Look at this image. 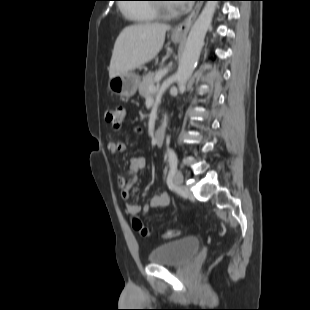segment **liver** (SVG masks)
<instances>
[{"mask_svg": "<svg viewBox=\"0 0 310 310\" xmlns=\"http://www.w3.org/2000/svg\"><path fill=\"white\" fill-rule=\"evenodd\" d=\"M169 25L136 24L125 27L117 37L109 66V77L144 66L160 52Z\"/></svg>", "mask_w": 310, "mask_h": 310, "instance_id": "6515ba94", "label": "liver"}]
</instances>
